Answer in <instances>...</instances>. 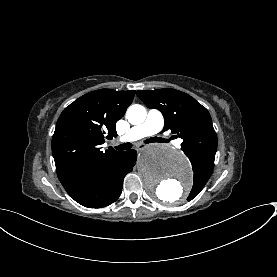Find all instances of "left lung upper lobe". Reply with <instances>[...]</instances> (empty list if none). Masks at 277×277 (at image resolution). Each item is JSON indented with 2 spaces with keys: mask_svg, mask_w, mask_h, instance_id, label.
<instances>
[{
  "mask_svg": "<svg viewBox=\"0 0 277 277\" xmlns=\"http://www.w3.org/2000/svg\"><path fill=\"white\" fill-rule=\"evenodd\" d=\"M137 95L148 108L162 112L164 131L171 130L183 139L181 149L194 170V184L188 197L192 200L203 189L214 167L217 135L208 110L190 95L175 89L143 90L137 91Z\"/></svg>",
  "mask_w": 277,
  "mask_h": 277,
  "instance_id": "5c2ea615",
  "label": "left lung upper lobe"
}]
</instances>
